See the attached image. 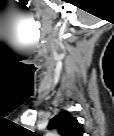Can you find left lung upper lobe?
I'll return each mask as SVG.
<instances>
[{
	"mask_svg": "<svg viewBox=\"0 0 114 136\" xmlns=\"http://www.w3.org/2000/svg\"><path fill=\"white\" fill-rule=\"evenodd\" d=\"M49 128H56L62 136H82L83 129L75 117L68 114L55 116L49 123Z\"/></svg>",
	"mask_w": 114,
	"mask_h": 136,
	"instance_id": "1",
	"label": "left lung upper lobe"
}]
</instances>
